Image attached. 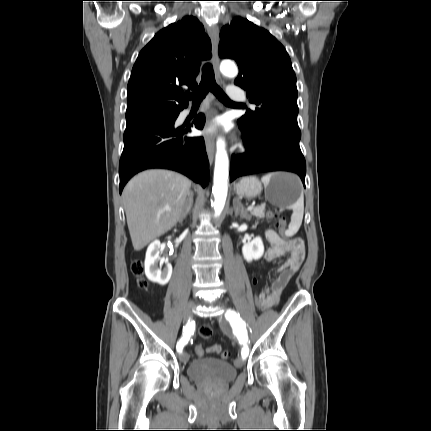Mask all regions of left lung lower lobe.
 <instances>
[{"label": "left lung lower lobe", "mask_w": 431, "mask_h": 431, "mask_svg": "<svg viewBox=\"0 0 431 431\" xmlns=\"http://www.w3.org/2000/svg\"><path fill=\"white\" fill-rule=\"evenodd\" d=\"M239 128L247 150L232 156L231 181L259 172L290 171L297 173L305 186L306 164L299 147V128L277 122L265 123L253 131Z\"/></svg>", "instance_id": "0a47b994"}]
</instances>
